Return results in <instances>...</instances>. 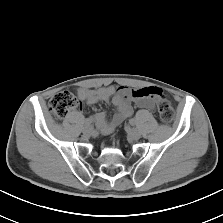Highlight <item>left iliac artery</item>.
Instances as JSON below:
<instances>
[{"mask_svg":"<svg viewBox=\"0 0 223 223\" xmlns=\"http://www.w3.org/2000/svg\"><path fill=\"white\" fill-rule=\"evenodd\" d=\"M129 123H130L132 126H134V125L137 124L135 119H131V120L129 121Z\"/></svg>","mask_w":223,"mask_h":223,"instance_id":"left-iliac-artery-1","label":"left iliac artery"}]
</instances>
